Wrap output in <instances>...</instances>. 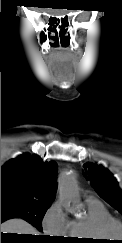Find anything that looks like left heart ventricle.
<instances>
[{
  "instance_id": "left-heart-ventricle-1",
  "label": "left heart ventricle",
  "mask_w": 122,
  "mask_h": 243,
  "mask_svg": "<svg viewBox=\"0 0 122 243\" xmlns=\"http://www.w3.org/2000/svg\"><path fill=\"white\" fill-rule=\"evenodd\" d=\"M114 235H115V236H119V235L122 236V232L119 231V230H115V231H114Z\"/></svg>"
}]
</instances>
